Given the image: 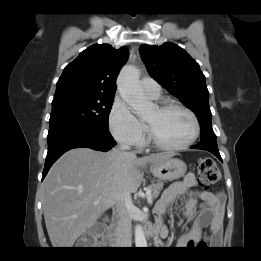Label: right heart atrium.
Instances as JSON below:
<instances>
[{"label": "right heart atrium", "instance_id": "obj_1", "mask_svg": "<svg viewBox=\"0 0 261 261\" xmlns=\"http://www.w3.org/2000/svg\"><path fill=\"white\" fill-rule=\"evenodd\" d=\"M112 136L124 146L141 147L144 143L145 126L120 99L113 102L109 118Z\"/></svg>", "mask_w": 261, "mask_h": 261}]
</instances>
